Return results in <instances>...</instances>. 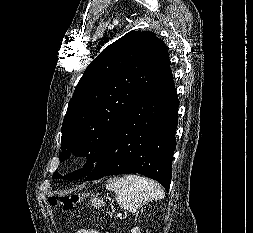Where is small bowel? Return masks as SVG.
<instances>
[{"label": "small bowel", "mask_w": 253, "mask_h": 233, "mask_svg": "<svg viewBox=\"0 0 253 233\" xmlns=\"http://www.w3.org/2000/svg\"><path fill=\"white\" fill-rule=\"evenodd\" d=\"M77 233H98V232L95 230L88 229V230H79L77 231Z\"/></svg>", "instance_id": "1"}]
</instances>
